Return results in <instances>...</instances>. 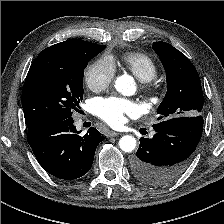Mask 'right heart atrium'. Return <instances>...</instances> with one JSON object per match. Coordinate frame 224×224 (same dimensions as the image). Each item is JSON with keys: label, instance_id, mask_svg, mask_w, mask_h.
<instances>
[{"label": "right heart atrium", "instance_id": "1", "mask_svg": "<svg viewBox=\"0 0 224 224\" xmlns=\"http://www.w3.org/2000/svg\"><path fill=\"white\" fill-rule=\"evenodd\" d=\"M115 72V65L111 58H100L87 67L85 82L92 91H103L112 83Z\"/></svg>", "mask_w": 224, "mask_h": 224}]
</instances>
